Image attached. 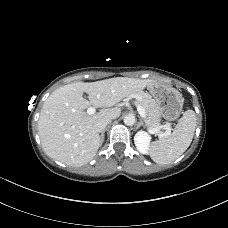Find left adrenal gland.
Returning <instances> with one entry per match:
<instances>
[{
  "instance_id": "left-adrenal-gland-1",
  "label": "left adrenal gland",
  "mask_w": 228,
  "mask_h": 228,
  "mask_svg": "<svg viewBox=\"0 0 228 228\" xmlns=\"http://www.w3.org/2000/svg\"><path fill=\"white\" fill-rule=\"evenodd\" d=\"M140 126L145 127V125H144V123H143V121H142V119H141V118H140L139 123L137 124V128H139Z\"/></svg>"
}]
</instances>
